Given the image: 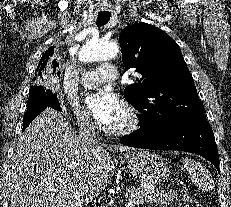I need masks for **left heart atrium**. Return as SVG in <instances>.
Segmentation results:
<instances>
[{
    "label": "left heart atrium",
    "instance_id": "39dd6f15",
    "mask_svg": "<svg viewBox=\"0 0 231 207\" xmlns=\"http://www.w3.org/2000/svg\"><path fill=\"white\" fill-rule=\"evenodd\" d=\"M86 104L94 118L102 125L109 126L124 111L119 96L111 90H100L86 97Z\"/></svg>",
    "mask_w": 231,
    "mask_h": 207
}]
</instances>
